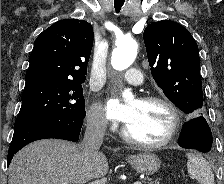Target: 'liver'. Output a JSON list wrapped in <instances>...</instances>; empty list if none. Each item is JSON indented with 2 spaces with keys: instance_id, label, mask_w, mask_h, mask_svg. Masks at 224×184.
I'll list each match as a JSON object with an SVG mask.
<instances>
[{
  "instance_id": "obj_1",
  "label": "liver",
  "mask_w": 224,
  "mask_h": 184,
  "mask_svg": "<svg viewBox=\"0 0 224 184\" xmlns=\"http://www.w3.org/2000/svg\"><path fill=\"white\" fill-rule=\"evenodd\" d=\"M98 151L85 159L78 144L57 139L33 142L20 150L9 166V184H84L108 172Z\"/></svg>"
}]
</instances>
